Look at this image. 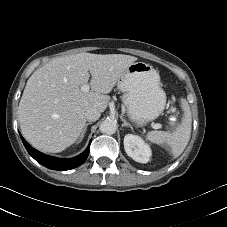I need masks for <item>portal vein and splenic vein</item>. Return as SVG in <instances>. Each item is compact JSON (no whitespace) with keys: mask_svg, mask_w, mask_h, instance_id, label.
Returning a JSON list of instances; mask_svg holds the SVG:
<instances>
[{"mask_svg":"<svg viewBox=\"0 0 227 227\" xmlns=\"http://www.w3.org/2000/svg\"><path fill=\"white\" fill-rule=\"evenodd\" d=\"M87 75H88V74H87ZM88 76H89V75H88ZM89 89H90L89 84H84V85L81 87V91H82V92H88ZM152 127H153L154 129H159V128L162 127V125H161L160 123H156V124H153Z\"/></svg>","mask_w":227,"mask_h":227,"instance_id":"portal-vein-and-splenic-vein-1","label":"portal vein and splenic vein"}]
</instances>
